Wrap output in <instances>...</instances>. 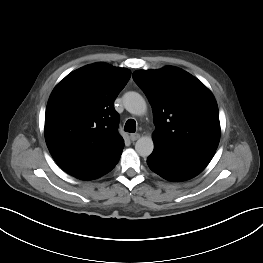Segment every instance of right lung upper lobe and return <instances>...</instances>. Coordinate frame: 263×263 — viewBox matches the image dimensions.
Instances as JSON below:
<instances>
[{
	"mask_svg": "<svg viewBox=\"0 0 263 263\" xmlns=\"http://www.w3.org/2000/svg\"><path fill=\"white\" fill-rule=\"evenodd\" d=\"M125 68L84 66L52 91L45 114V139L56 163L77 175L103 167L121 154L114 101L130 79Z\"/></svg>",
	"mask_w": 263,
	"mask_h": 263,
	"instance_id": "cb5924a9",
	"label": "right lung upper lobe"
}]
</instances>
